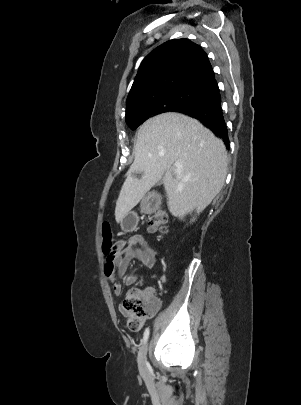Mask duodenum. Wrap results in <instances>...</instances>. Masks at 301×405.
I'll use <instances>...</instances> for the list:
<instances>
[{
    "label": "duodenum",
    "mask_w": 301,
    "mask_h": 405,
    "mask_svg": "<svg viewBox=\"0 0 301 405\" xmlns=\"http://www.w3.org/2000/svg\"><path fill=\"white\" fill-rule=\"evenodd\" d=\"M162 204L158 194H147L146 198L141 201V206L147 213H158Z\"/></svg>",
    "instance_id": "obj_1"
}]
</instances>
